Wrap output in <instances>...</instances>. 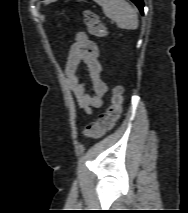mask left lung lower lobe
<instances>
[{"instance_id":"left-lung-lower-lobe-1","label":"left lung lower lobe","mask_w":188,"mask_h":213,"mask_svg":"<svg viewBox=\"0 0 188 213\" xmlns=\"http://www.w3.org/2000/svg\"><path fill=\"white\" fill-rule=\"evenodd\" d=\"M131 1L134 2L141 11V13H143V6H144L143 0H131Z\"/></svg>"}]
</instances>
